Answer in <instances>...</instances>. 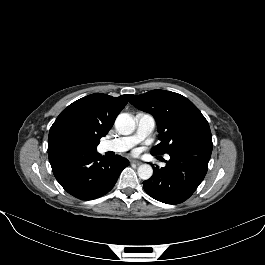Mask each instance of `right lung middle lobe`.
Listing matches in <instances>:
<instances>
[{
  "instance_id": "dd1d6c3e",
  "label": "right lung middle lobe",
  "mask_w": 265,
  "mask_h": 265,
  "mask_svg": "<svg viewBox=\"0 0 265 265\" xmlns=\"http://www.w3.org/2000/svg\"><path fill=\"white\" fill-rule=\"evenodd\" d=\"M98 144L80 135H70L66 139L67 148L72 150H96Z\"/></svg>"
}]
</instances>
